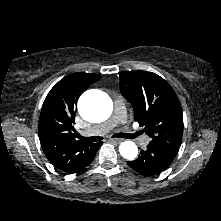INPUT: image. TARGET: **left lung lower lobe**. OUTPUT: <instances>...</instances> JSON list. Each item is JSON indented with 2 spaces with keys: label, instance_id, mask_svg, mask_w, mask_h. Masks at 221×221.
<instances>
[{
  "label": "left lung lower lobe",
  "instance_id": "left-lung-lower-lobe-1",
  "mask_svg": "<svg viewBox=\"0 0 221 221\" xmlns=\"http://www.w3.org/2000/svg\"><path fill=\"white\" fill-rule=\"evenodd\" d=\"M140 154L136 160L129 161L128 165L143 176H153L166 170L177 152L149 143L147 149Z\"/></svg>",
  "mask_w": 221,
  "mask_h": 221
}]
</instances>
